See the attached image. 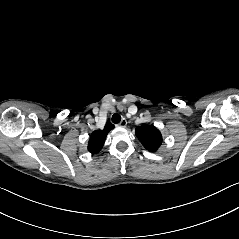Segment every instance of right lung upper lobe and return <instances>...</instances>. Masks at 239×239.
Listing matches in <instances>:
<instances>
[{"mask_svg": "<svg viewBox=\"0 0 239 239\" xmlns=\"http://www.w3.org/2000/svg\"><path fill=\"white\" fill-rule=\"evenodd\" d=\"M113 128L114 125L110 123V121H107L103 130H96L92 132L88 143V151L92 154L98 153L104 145L107 134Z\"/></svg>", "mask_w": 239, "mask_h": 239, "instance_id": "right-lung-upper-lobe-1", "label": "right lung upper lobe"}]
</instances>
